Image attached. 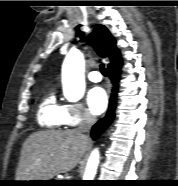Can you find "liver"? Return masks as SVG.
Masks as SVG:
<instances>
[{"instance_id": "6515ba94", "label": "liver", "mask_w": 178, "mask_h": 186, "mask_svg": "<svg viewBox=\"0 0 178 186\" xmlns=\"http://www.w3.org/2000/svg\"><path fill=\"white\" fill-rule=\"evenodd\" d=\"M90 139L76 129L39 131L24 142L16 172L17 181L50 180L72 170Z\"/></svg>"}]
</instances>
